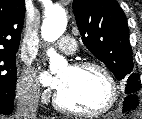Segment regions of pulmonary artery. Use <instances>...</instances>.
<instances>
[{"label":"pulmonary artery","instance_id":"obj_1","mask_svg":"<svg viewBox=\"0 0 142 119\" xmlns=\"http://www.w3.org/2000/svg\"><path fill=\"white\" fill-rule=\"evenodd\" d=\"M58 48L69 55H73L76 53L77 48H76V42L74 39L70 37H63L59 40L57 43Z\"/></svg>","mask_w":142,"mask_h":119}]
</instances>
